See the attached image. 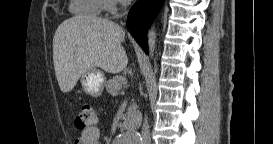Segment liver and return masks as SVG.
Masks as SVG:
<instances>
[{
	"label": "liver",
	"instance_id": "1",
	"mask_svg": "<svg viewBox=\"0 0 273 144\" xmlns=\"http://www.w3.org/2000/svg\"><path fill=\"white\" fill-rule=\"evenodd\" d=\"M125 31L115 22L95 16L63 21L53 38V63L60 90L70 92L83 73L92 68L117 74L128 58L121 43Z\"/></svg>",
	"mask_w": 273,
	"mask_h": 144
}]
</instances>
